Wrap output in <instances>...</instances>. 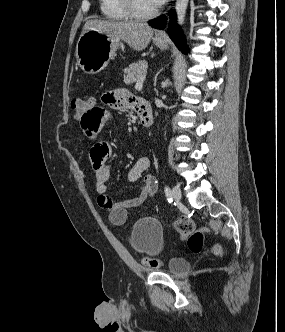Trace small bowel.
Returning a JSON list of instances; mask_svg holds the SVG:
<instances>
[{"mask_svg": "<svg viewBox=\"0 0 285 332\" xmlns=\"http://www.w3.org/2000/svg\"><path fill=\"white\" fill-rule=\"evenodd\" d=\"M110 108L138 113L137 99L124 89H115L103 95L102 106H90L89 111L78 115V122L83 126V133L95 138L97 133H104V126H110L113 112ZM112 155V147L104 141H96L90 150V158L95 171V189L99 206L108 213L109 220L116 226L126 222L128 211L141 206L157 191V182L152 175H145L136 194L124 200L115 201L109 195L110 167L107 160ZM148 156L137 159L128 173L131 183L137 182L149 168Z\"/></svg>", "mask_w": 285, "mask_h": 332, "instance_id": "1", "label": "small bowel"}]
</instances>
